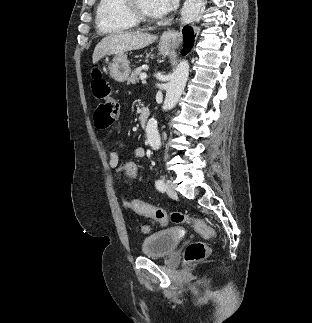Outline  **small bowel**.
Wrapping results in <instances>:
<instances>
[{"label":"small bowel","mask_w":312,"mask_h":323,"mask_svg":"<svg viewBox=\"0 0 312 323\" xmlns=\"http://www.w3.org/2000/svg\"><path fill=\"white\" fill-rule=\"evenodd\" d=\"M146 155V151L143 147H137L133 149L131 152H129L126 155L121 156L118 152L116 151H111L108 154V164L111 169H113L116 173L118 171H121V168L123 165H121V158H127L129 156H134L136 158H143ZM123 193H121V196L123 198ZM132 210V206H127ZM145 218H154L153 216H141Z\"/></svg>","instance_id":"c3829d8e"}]
</instances>
